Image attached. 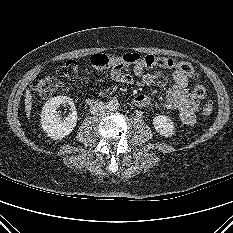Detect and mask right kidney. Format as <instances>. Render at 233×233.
Wrapping results in <instances>:
<instances>
[{"instance_id":"1","label":"right kidney","mask_w":233,"mask_h":233,"mask_svg":"<svg viewBox=\"0 0 233 233\" xmlns=\"http://www.w3.org/2000/svg\"><path fill=\"white\" fill-rule=\"evenodd\" d=\"M60 104H69L72 113L65 119L59 116L57 108ZM77 123V112L72 99L67 96H57L48 100L42 108L41 125L44 132L53 140L69 135Z\"/></svg>"}]
</instances>
